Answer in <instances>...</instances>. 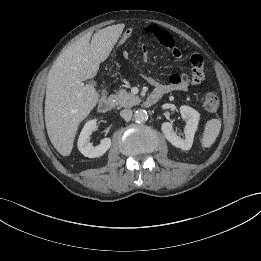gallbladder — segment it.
Listing matches in <instances>:
<instances>
[{"label":"gallbladder","mask_w":261,"mask_h":261,"mask_svg":"<svg viewBox=\"0 0 261 261\" xmlns=\"http://www.w3.org/2000/svg\"><path fill=\"white\" fill-rule=\"evenodd\" d=\"M91 85H94V83L91 81V82H89Z\"/></svg>","instance_id":"obj_1"}]
</instances>
